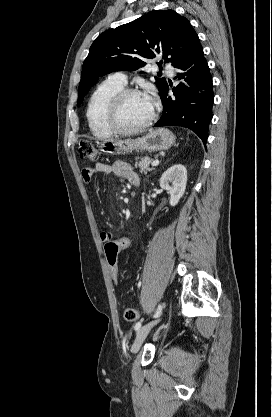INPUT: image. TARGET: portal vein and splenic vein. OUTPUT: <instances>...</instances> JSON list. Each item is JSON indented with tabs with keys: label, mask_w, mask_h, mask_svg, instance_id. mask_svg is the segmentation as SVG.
I'll return each instance as SVG.
<instances>
[{
	"label": "portal vein and splenic vein",
	"mask_w": 272,
	"mask_h": 417,
	"mask_svg": "<svg viewBox=\"0 0 272 417\" xmlns=\"http://www.w3.org/2000/svg\"><path fill=\"white\" fill-rule=\"evenodd\" d=\"M158 165H159V161L158 160H155V161L152 162V166H158Z\"/></svg>",
	"instance_id": "18ae733b"
}]
</instances>
